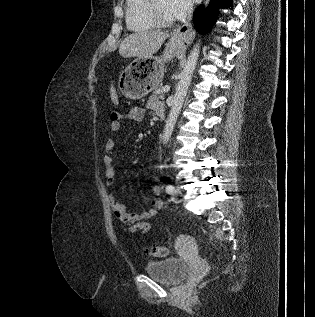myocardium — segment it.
Returning <instances> with one entry per match:
<instances>
[{"instance_id":"1","label":"myocardium","mask_w":315,"mask_h":317,"mask_svg":"<svg viewBox=\"0 0 315 317\" xmlns=\"http://www.w3.org/2000/svg\"><path fill=\"white\" fill-rule=\"evenodd\" d=\"M148 11H149V15H150L151 20L153 21V23L157 27H170V26L175 24L174 19L167 20V19H164L161 17V15L156 7L155 0H149Z\"/></svg>"}]
</instances>
